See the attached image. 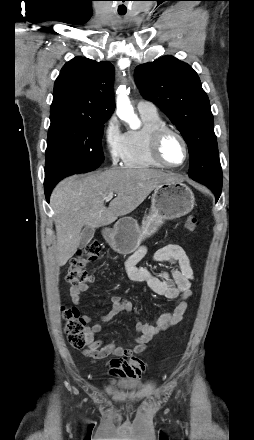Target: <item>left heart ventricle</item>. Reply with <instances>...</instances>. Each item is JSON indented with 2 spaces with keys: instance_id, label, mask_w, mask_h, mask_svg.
I'll return each instance as SVG.
<instances>
[{
  "instance_id": "obj_1",
  "label": "left heart ventricle",
  "mask_w": 254,
  "mask_h": 440,
  "mask_svg": "<svg viewBox=\"0 0 254 440\" xmlns=\"http://www.w3.org/2000/svg\"><path fill=\"white\" fill-rule=\"evenodd\" d=\"M162 155L171 164L182 163L185 152L181 141L174 135H168L162 144Z\"/></svg>"
}]
</instances>
